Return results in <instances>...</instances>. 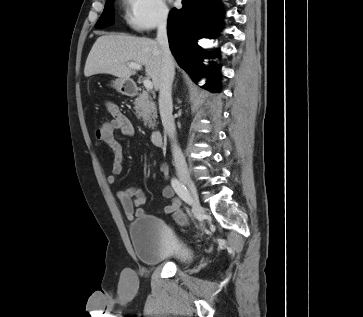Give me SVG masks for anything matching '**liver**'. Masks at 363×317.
Wrapping results in <instances>:
<instances>
[{
  "instance_id": "liver-1",
  "label": "liver",
  "mask_w": 363,
  "mask_h": 317,
  "mask_svg": "<svg viewBox=\"0 0 363 317\" xmlns=\"http://www.w3.org/2000/svg\"><path fill=\"white\" fill-rule=\"evenodd\" d=\"M137 63L145 66L146 75L159 89L162 71V54L157 41L145 37L110 34L100 36L94 43L86 60L84 75L111 74L129 80L136 69L127 66Z\"/></svg>"
}]
</instances>
